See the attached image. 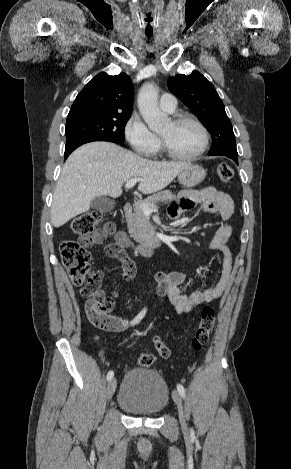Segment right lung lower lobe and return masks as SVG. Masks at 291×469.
<instances>
[{"label":"right lung lower lobe","instance_id":"1","mask_svg":"<svg viewBox=\"0 0 291 469\" xmlns=\"http://www.w3.org/2000/svg\"><path fill=\"white\" fill-rule=\"evenodd\" d=\"M92 141H109V142H113L116 144H121L120 142H117L111 139H106V138H79V139L68 140L65 146L64 160H66L67 157L70 155V153L73 150H75L77 147H79L82 144L92 142Z\"/></svg>","mask_w":291,"mask_h":469}]
</instances>
